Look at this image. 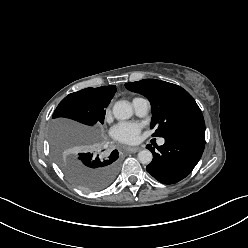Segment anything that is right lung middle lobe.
I'll use <instances>...</instances> for the list:
<instances>
[{"instance_id": "obj_1", "label": "right lung middle lobe", "mask_w": 248, "mask_h": 248, "mask_svg": "<svg viewBox=\"0 0 248 248\" xmlns=\"http://www.w3.org/2000/svg\"><path fill=\"white\" fill-rule=\"evenodd\" d=\"M113 96L86 88L66 96L54 111L53 118L65 117L85 125L104 123L106 108ZM55 159L72 183L85 191L104 189L115 179L119 161L118 151L110 155L83 152L75 154L53 144Z\"/></svg>"}]
</instances>
